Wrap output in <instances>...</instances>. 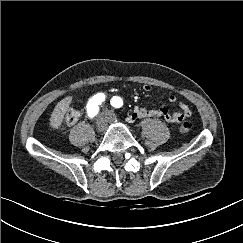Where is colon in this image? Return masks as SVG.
<instances>
[{"mask_svg":"<svg viewBox=\"0 0 243 243\" xmlns=\"http://www.w3.org/2000/svg\"><path fill=\"white\" fill-rule=\"evenodd\" d=\"M79 117H80V113L77 110L70 109L65 115L64 122L67 125H72L78 121ZM191 128H192V124L189 121H183L180 125V131L182 133L189 132Z\"/></svg>","mask_w":243,"mask_h":243,"instance_id":"1","label":"colon"}]
</instances>
